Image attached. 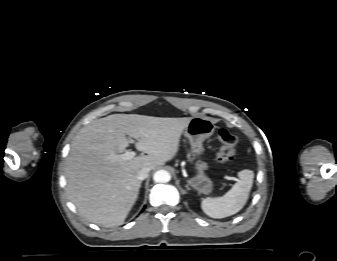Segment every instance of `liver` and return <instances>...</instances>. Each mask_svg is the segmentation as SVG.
<instances>
[{
    "mask_svg": "<svg viewBox=\"0 0 337 261\" xmlns=\"http://www.w3.org/2000/svg\"><path fill=\"white\" fill-rule=\"evenodd\" d=\"M191 119L112 114L83 127L65 164L68 197L81 216L105 227L122 225L138 198L137 172L171 160ZM126 135L147 155L113 160L129 146Z\"/></svg>",
    "mask_w": 337,
    "mask_h": 261,
    "instance_id": "liver-1",
    "label": "liver"
}]
</instances>
